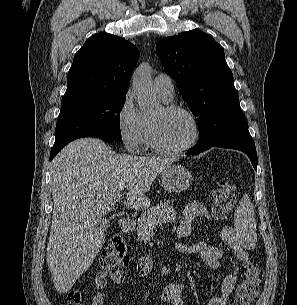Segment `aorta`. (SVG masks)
Wrapping results in <instances>:
<instances>
[{"mask_svg": "<svg viewBox=\"0 0 297 305\" xmlns=\"http://www.w3.org/2000/svg\"><path fill=\"white\" fill-rule=\"evenodd\" d=\"M132 89L140 110L153 112L158 104L153 91L148 64H141L132 75Z\"/></svg>", "mask_w": 297, "mask_h": 305, "instance_id": "obj_1", "label": "aorta"}]
</instances>
